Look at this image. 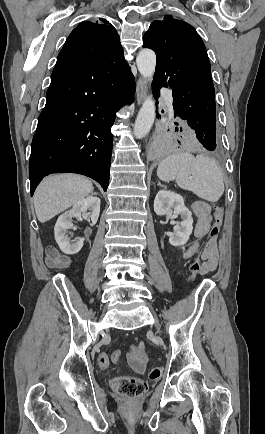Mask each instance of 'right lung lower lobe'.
Returning <instances> with one entry per match:
<instances>
[{"label": "right lung lower lobe", "instance_id": "right-lung-lower-lobe-1", "mask_svg": "<svg viewBox=\"0 0 265 434\" xmlns=\"http://www.w3.org/2000/svg\"><path fill=\"white\" fill-rule=\"evenodd\" d=\"M134 77L123 56L103 62H57L32 140L31 195L42 178L72 172L109 184L115 112L131 103Z\"/></svg>", "mask_w": 265, "mask_h": 434}]
</instances>
